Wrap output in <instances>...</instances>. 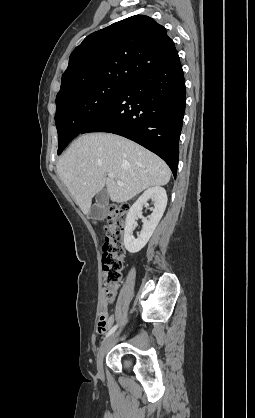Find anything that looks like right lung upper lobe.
<instances>
[{"label": "right lung upper lobe", "instance_id": "cb5924a9", "mask_svg": "<svg viewBox=\"0 0 255 418\" xmlns=\"http://www.w3.org/2000/svg\"><path fill=\"white\" fill-rule=\"evenodd\" d=\"M178 60L166 29L148 16L135 15L90 34L74 49L57 95L96 82L129 84Z\"/></svg>", "mask_w": 255, "mask_h": 418}]
</instances>
